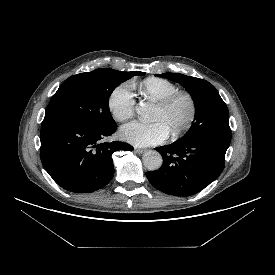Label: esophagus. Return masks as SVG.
Here are the masks:
<instances>
[{"label":"esophagus","mask_w":275,"mask_h":275,"mask_svg":"<svg viewBox=\"0 0 275 275\" xmlns=\"http://www.w3.org/2000/svg\"><path fill=\"white\" fill-rule=\"evenodd\" d=\"M134 151H135L136 153H138V154H142V153L145 152L144 149H140V148H135Z\"/></svg>","instance_id":"1"}]
</instances>
